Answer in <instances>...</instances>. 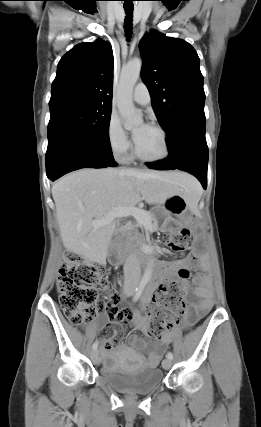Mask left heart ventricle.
<instances>
[{"instance_id": "left-heart-ventricle-1", "label": "left heart ventricle", "mask_w": 261, "mask_h": 427, "mask_svg": "<svg viewBox=\"0 0 261 427\" xmlns=\"http://www.w3.org/2000/svg\"><path fill=\"white\" fill-rule=\"evenodd\" d=\"M140 127L141 126L136 127L134 133L137 132ZM135 145L137 152L147 158L159 157L164 152V145L160 133L151 127L144 130Z\"/></svg>"}]
</instances>
